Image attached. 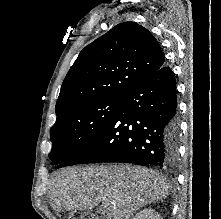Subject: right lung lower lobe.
Segmentation results:
<instances>
[{"label": "right lung lower lobe", "mask_w": 221, "mask_h": 219, "mask_svg": "<svg viewBox=\"0 0 221 219\" xmlns=\"http://www.w3.org/2000/svg\"><path fill=\"white\" fill-rule=\"evenodd\" d=\"M179 135L176 81L164 65L128 90L103 130L58 168L95 162L173 167Z\"/></svg>", "instance_id": "right-lung-lower-lobe-1"}]
</instances>
